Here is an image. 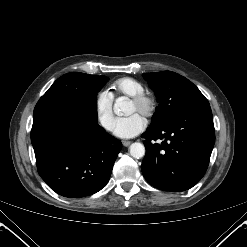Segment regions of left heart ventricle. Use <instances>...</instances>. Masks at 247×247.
Instances as JSON below:
<instances>
[{
  "label": "left heart ventricle",
  "instance_id": "b2bd125f",
  "mask_svg": "<svg viewBox=\"0 0 247 247\" xmlns=\"http://www.w3.org/2000/svg\"><path fill=\"white\" fill-rule=\"evenodd\" d=\"M140 113L139 109L137 108V106L135 104H133L132 102L129 103V107L127 110V114H133V113Z\"/></svg>",
  "mask_w": 247,
  "mask_h": 247
}]
</instances>
